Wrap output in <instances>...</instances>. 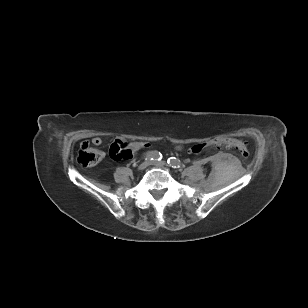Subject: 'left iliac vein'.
Instances as JSON below:
<instances>
[{
    "label": "left iliac vein",
    "mask_w": 308,
    "mask_h": 308,
    "mask_svg": "<svg viewBox=\"0 0 308 308\" xmlns=\"http://www.w3.org/2000/svg\"><path fill=\"white\" fill-rule=\"evenodd\" d=\"M152 165L162 168V167L166 166V162H164V161H154V162H152Z\"/></svg>",
    "instance_id": "obj_1"
}]
</instances>
